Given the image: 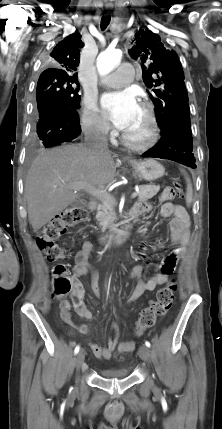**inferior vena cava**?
<instances>
[{
  "label": "inferior vena cava",
  "instance_id": "1",
  "mask_svg": "<svg viewBox=\"0 0 222 429\" xmlns=\"http://www.w3.org/2000/svg\"><path fill=\"white\" fill-rule=\"evenodd\" d=\"M109 129V124L104 121L98 122L93 128L86 129V146L91 150H107Z\"/></svg>",
  "mask_w": 222,
  "mask_h": 429
}]
</instances>
